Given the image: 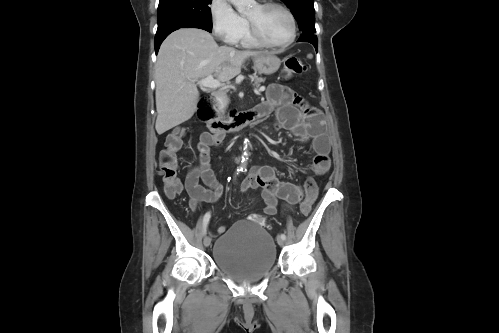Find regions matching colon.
Here are the masks:
<instances>
[{"instance_id":"colon-1","label":"colon","mask_w":499,"mask_h":333,"mask_svg":"<svg viewBox=\"0 0 499 333\" xmlns=\"http://www.w3.org/2000/svg\"><path fill=\"white\" fill-rule=\"evenodd\" d=\"M306 71V65L297 58H288L284 64L283 76L289 78L302 74ZM183 130L176 129L165 142V148L160 154L159 174L164 183L165 192L169 197L176 196L182 188L177 178V153L182 147ZM305 198L300 209L303 215H307L318 196V185L313 178H308L304 184ZM248 219L260 225H265L264 218L258 214H251Z\"/></svg>"}]
</instances>
